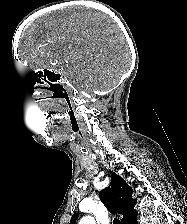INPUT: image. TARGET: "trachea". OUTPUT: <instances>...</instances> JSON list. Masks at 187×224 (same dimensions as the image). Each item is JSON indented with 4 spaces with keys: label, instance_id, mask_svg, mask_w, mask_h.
I'll list each match as a JSON object with an SVG mask.
<instances>
[{
    "label": "trachea",
    "instance_id": "3493384b",
    "mask_svg": "<svg viewBox=\"0 0 187 224\" xmlns=\"http://www.w3.org/2000/svg\"><path fill=\"white\" fill-rule=\"evenodd\" d=\"M113 224H121L120 220L115 218L114 221H113Z\"/></svg>",
    "mask_w": 187,
    "mask_h": 224
}]
</instances>
